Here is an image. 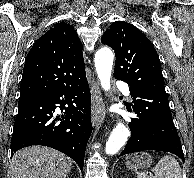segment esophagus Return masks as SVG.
I'll use <instances>...</instances> for the list:
<instances>
[{"label": "esophagus", "mask_w": 194, "mask_h": 178, "mask_svg": "<svg viewBox=\"0 0 194 178\" xmlns=\"http://www.w3.org/2000/svg\"><path fill=\"white\" fill-rule=\"evenodd\" d=\"M105 103L103 101L100 86L93 82V93L91 99V121L94 127L102 125L105 120Z\"/></svg>", "instance_id": "esophagus-1"}]
</instances>
